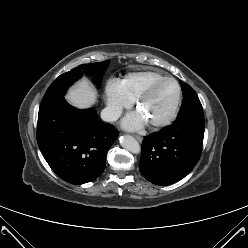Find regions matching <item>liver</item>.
Segmentation results:
<instances>
[{"instance_id":"1","label":"liver","mask_w":248,"mask_h":248,"mask_svg":"<svg viewBox=\"0 0 248 248\" xmlns=\"http://www.w3.org/2000/svg\"><path fill=\"white\" fill-rule=\"evenodd\" d=\"M96 95L91 84L82 80L69 90L66 98L75 107L88 108L96 101Z\"/></svg>"}]
</instances>
